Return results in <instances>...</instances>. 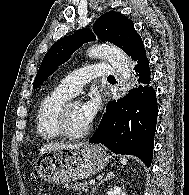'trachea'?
<instances>
[{"instance_id":"trachea-1","label":"trachea","mask_w":189,"mask_h":195,"mask_svg":"<svg viewBox=\"0 0 189 195\" xmlns=\"http://www.w3.org/2000/svg\"><path fill=\"white\" fill-rule=\"evenodd\" d=\"M108 78H113V76L110 75V76H108Z\"/></svg>"}]
</instances>
